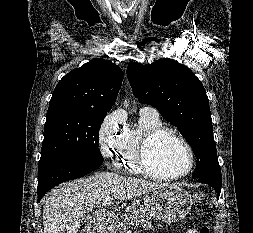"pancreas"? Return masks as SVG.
Returning <instances> with one entry per match:
<instances>
[{
  "label": "pancreas",
  "mask_w": 253,
  "mask_h": 233,
  "mask_svg": "<svg viewBox=\"0 0 253 233\" xmlns=\"http://www.w3.org/2000/svg\"><path fill=\"white\" fill-rule=\"evenodd\" d=\"M134 222L141 224L146 230L152 228L151 215L146 213L145 208L137 203H132L126 207L125 212L122 215L119 233H125V230L130 225H133Z\"/></svg>",
  "instance_id": "obj_1"
}]
</instances>
